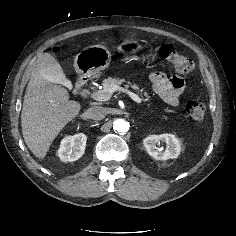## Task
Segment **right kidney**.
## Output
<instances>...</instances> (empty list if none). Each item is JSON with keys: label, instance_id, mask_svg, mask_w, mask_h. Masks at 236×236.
Wrapping results in <instances>:
<instances>
[{"label": "right kidney", "instance_id": "1", "mask_svg": "<svg viewBox=\"0 0 236 236\" xmlns=\"http://www.w3.org/2000/svg\"><path fill=\"white\" fill-rule=\"evenodd\" d=\"M87 137L83 133L73 136H65L57 151L58 157L63 162H72L78 160L85 151Z\"/></svg>", "mask_w": 236, "mask_h": 236}]
</instances>
